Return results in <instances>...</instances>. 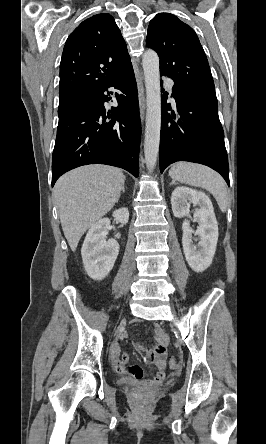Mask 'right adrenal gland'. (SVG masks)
<instances>
[{
  "mask_svg": "<svg viewBox=\"0 0 266 444\" xmlns=\"http://www.w3.org/2000/svg\"><path fill=\"white\" fill-rule=\"evenodd\" d=\"M125 192V188H124V186L122 187V193H124Z\"/></svg>",
  "mask_w": 266,
  "mask_h": 444,
  "instance_id": "obj_1",
  "label": "right adrenal gland"
}]
</instances>
